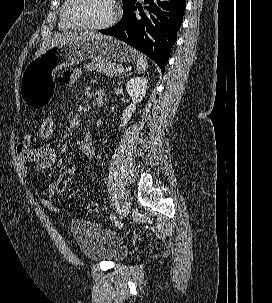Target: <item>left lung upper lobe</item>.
<instances>
[{
    "instance_id": "left-lung-upper-lobe-1",
    "label": "left lung upper lobe",
    "mask_w": 272,
    "mask_h": 303,
    "mask_svg": "<svg viewBox=\"0 0 272 303\" xmlns=\"http://www.w3.org/2000/svg\"><path fill=\"white\" fill-rule=\"evenodd\" d=\"M122 1L124 4V10L136 2V0H122Z\"/></svg>"
}]
</instances>
